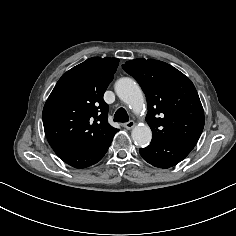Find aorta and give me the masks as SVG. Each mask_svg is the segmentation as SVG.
<instances>
[{
    "label": "aorta",
    "instance_id": "1",
    "mask_svg": "<svg viewBox=\"0 0 236 236\" xmlns=\"http://www.w3.org/2000/svg\"><path fill=\"white\" fill-rule=\"evenodd\" d=\"M117 96L133 111L139 112L144 106V97L139 85L131 78L124 77L115 83ZM133 141L139 146H146L152 139V132L148 125H137L131 132Z\"/></svg>",
    "mask_w": 236,
    "mask_h": 236
}]
</instances>
